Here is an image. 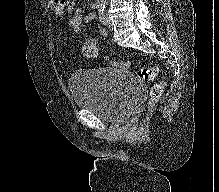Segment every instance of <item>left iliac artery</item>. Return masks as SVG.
<instances>
[{
	"label": "left iliac artery",
	"mask_w": 219,
	"mask_h": 192,
	"mask_svg": "<svg viewBox=\"0 0 219 192\" xmlns=\"http://www.w3.org/2000/svg\"><path fill=\"white\" fill-rule=\"evenodd\" d=\"M104 9L99 11V19L101 22H104V15H103Z\"/></svg>",
	"instance_id": "obj_1"
}]
</instances>
